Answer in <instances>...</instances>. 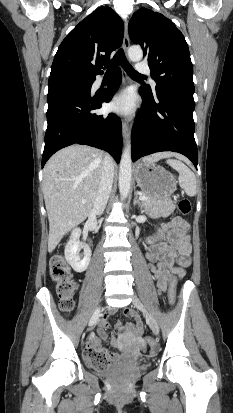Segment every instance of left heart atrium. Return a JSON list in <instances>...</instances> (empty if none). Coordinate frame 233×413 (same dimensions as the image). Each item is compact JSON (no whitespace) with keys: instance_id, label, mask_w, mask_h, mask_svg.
Listing matches in <instances>:
<instances>
[{"instance_id":"39dd6f15","label":"left heart atrium","mask_w":233,"mask_h":413,"mask_svg":"<svg viewBox=\"0 0 233 413\" xmlns=\"http://www.w3.org/2000/svg\"><path fill=\"white\" fill-rule=\"evenodd\" d=\"M109 108L119 114H132L135 110V100L132 92L125 90L114 95L109 103Z\"/></svg>"}]
</instances>
